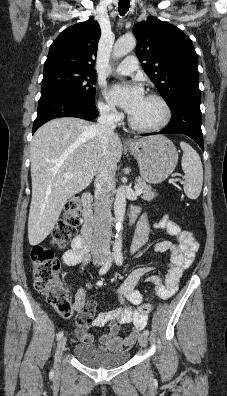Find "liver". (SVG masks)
Wrapping results in <instances>:
<instances>
[{
  "instance_id": "liver-1",
  "label": "liver",
  "mask_w": 227,
  "mask_h": 396,
  "mask_svg": "<svg viewBox=\"0 0 227 396\" xmlns=\"http://www.w3.org/2000/svg\"><path fill=\"white\" fill-rule=\"evenodd\" d=\"M122 152L117 134L110 137L104 152L95 124L80 118H56L36 131L30 155V245L41 243L49 235L67 200L90 185L103 160L110 159L117 166ZM66 173L73 176L65 178Z\"/></svg>"
}]
</instances>
